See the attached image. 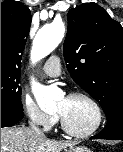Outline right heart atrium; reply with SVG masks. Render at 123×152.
<instances>
[{
	"label": "right heart atrium",
	"instance_id": "1",
	"mask_svg": "<svg viewBox=\"0 0 123 152\" xmlns=\"http://www.w3.org/2000/svg\"><path fill=\"white\" fill-rule=\"evenodd\" d=\"M22 108L32 123L45 129L51 128L57 121L56 115L47 114L42 111L29 96L22 98Z\"/></svg>",
	"mask_w": 123,
	"mask_h": 152
}]
</instances>
